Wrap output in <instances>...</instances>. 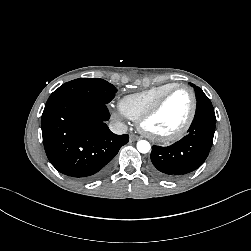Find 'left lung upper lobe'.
Returning <instances> with one entry per match:
<instances>
[{"instance_id":"1","label":"left lung upper lobe","mask_w":251,"mask_h":251,"mask_svg":"<svg viewBox=\"0 0 251 251\" xmlns=\"http://www.w3.org/2000/svg\"><path fill=\"white\" fill-rule=\"evenodd\" d=\"M191 85L195 89L196 99H197V107L195 115L199 114L215 115L213 106L209 98L204 94V92L199 87L195 86L194 84Z\"/></svg>"}]
</instances>
